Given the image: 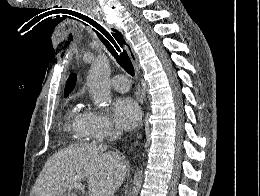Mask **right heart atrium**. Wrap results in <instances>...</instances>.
I'll use <instances>...</instances> for the list:
<instances>
[{
  "label": "right heart atrium",
  "instance_id": "right-heart-atrium-1",
  "mask_svg": "<svg viewBox=\"0 0 260 196\" xmlns=\"http://www.w3.org/2000/svg\"><path fill=\"white\" fill-rule=\"evenodd\" d=\"M82 126L90 130H109L114 129L108 115L97 109H88L83 117ZM134 163V162H133Z\"/></svg>",
  "mask_w": 260,
  "mask_h": 196
}]
</instances>
